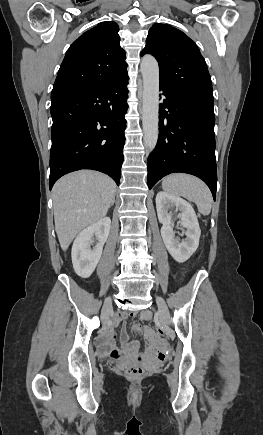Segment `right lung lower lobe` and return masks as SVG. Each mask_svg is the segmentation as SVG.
I'll list each match as a JSON object with an SVG mask.
<instances>
[{"instance_id":"98d812e1","label":"right lung lower lobe","mask_w":263,"mask_h":435,"mask_svg":"<svg viewBox=\"0 0 263 435\" xmlns=\"http://www.w3.org/2000/svg\"><path fill=\"white\" fill-rule=\"evenodd\" d=\"M128 75L52 98L50 190L63 175L92 169L120 183Z\"/></svg>"}]
</instances>
